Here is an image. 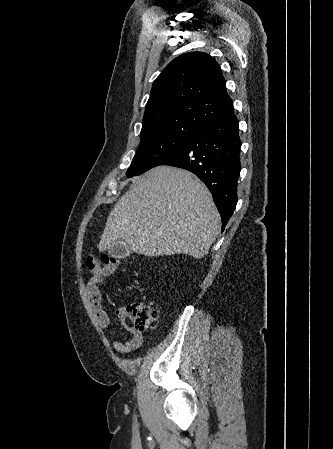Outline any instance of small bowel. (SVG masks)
I'll return each instance as SVG.
<instances>
[{
	"mask_svg": "<svg viewBox=\"0 0 333 449\" xmlns=\"http://www.w3.org/2000/svg\"><path fill=\"white\" fill-rule=\"evenodd\" d=\"M104 274H94L87 282L86 291L89 303L93 310L94 316L98 325L102 329H107L110 326V317L106 310L102 306V294L100 291V285L104 281ZM126 308L122 307L117 309L116 315L124 320L126 315ZM127 330L131 334V338L127 341L114 340L113 348L120 353H130L140 348L144 341L142 331H138L131 326H126Z\"/></svg>",
	"mask_w": 333,
	"mask_h": 449,
	"instance_id": "c3829d8e",
	"label": "small bowel"
}]
</instances>
